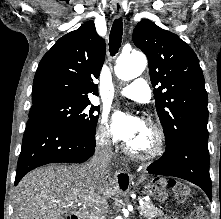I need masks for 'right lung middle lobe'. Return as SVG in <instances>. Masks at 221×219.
<instances>
[{"instance_id": "right-lung-middle-lobe-1", "label": "right lung middle lobe", "mask_w": 221, "mask_h": 219, "mask_svg": "<svg viewBox=\"0 0 221 219\" xmlns=\"http://www.w3.org/2000/svg\"><path fill=\"white\" fill-rule=\"evenodd\" d=\"M29 118L50 120L81 134L95 137L99 107L89 99L48 98L32 102Z\"/></svg>"}]
</instances>
